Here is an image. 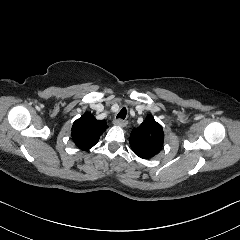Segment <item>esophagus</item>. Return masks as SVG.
<instances>
[{
	"label": "esophagus",
	"mask_w": 240,
	"mask_h": 240,
	"mask_svg": "<svg viewBox=\"0 0 240 240\" xmlns=\"http://www.w3.org/2000/svg\"><path fill=\"white\" fill-rule=\"evenodd\" d=\"M114 125L116 126H120V127H125L126 126V123L123 119H115L114 120Z\"/></svg>",
	"instance_id": "obj_1"
}]
</instances>
